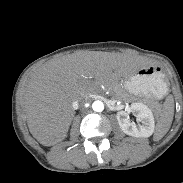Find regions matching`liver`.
I'll return each instance as SVG.
<instances>
[{"label":"liver","mask_w":183,"mask_h":183,"mask_svg":"<svg viewBox=\"0 0 183 183\" xmlns=\"http://www.w3.org/2000/svg\"><path fill=\"white\" fill-rule=\"evenodd\" d=\"M148 65L140 57L102 51H79L46 62L29 76L23 97L30 133L44 146L63 141L75 115L73 101L95 85L126 78Z\"/></svg>","instance_id":"obj_1"}]
</instances>
